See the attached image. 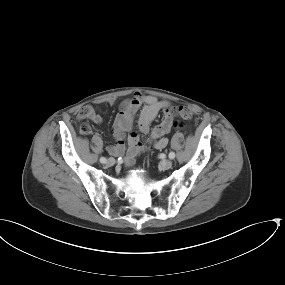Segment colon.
I'll list each match as a JSON object with an SVG mask.
<instances>
[{"instance_id":"colon-1","label":"colon","mask_w":285,"mask_h":285,"mask_svg":"<svg viewBox=\"0 0 285 285\" xmlns=\"http://www.w3.org/2000/svg\"><path fill=\"white\" fill-rule=\"evenodd\" d=\"M171 113L181 119H189L192 116V110L185 105L172 108Z\"/></svg>"}]
</instances>
